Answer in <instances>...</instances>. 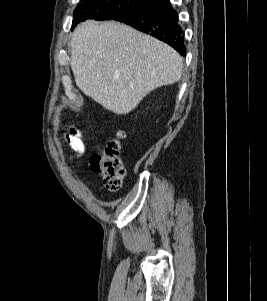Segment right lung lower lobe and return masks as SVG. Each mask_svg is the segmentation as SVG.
<instances>
[{"label": "right lung lower lobe", "mask_w": 267, "mask_h": 301, "mask_svg": "<svg viewBox=\"0 0 267 301\" xmlns=\"http://www.w3.org/2000/svg\"><path fill=\"white\" fill-rule=\"evenodd\" d=\"M114 20L150 34L172 46L182 56H186L184 35L178 24V15L169 0H162L134 12L119 15Z\"/></svg>", "instance_id": "1"}]
</instances>
